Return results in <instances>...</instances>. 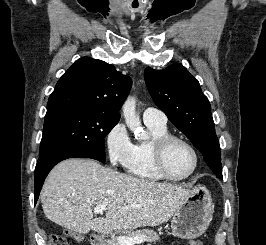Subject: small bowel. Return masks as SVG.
I'll return each mask as SVG.
<instances>
[{
  "mask_svg": "<svg viewBox=\"0 0 266 245\" xmlns=\"http://www.w3.org/2000/svg\"><path fill=\"white\" fill-rule=\"evenodd\" d=\"M191 242H199V241H191Z\"/></svg>",
  "mask_w": 266,
  "mask_h": 245,
  "instance_id": "1",
  "label": "small bowel"
}]
</instances>
